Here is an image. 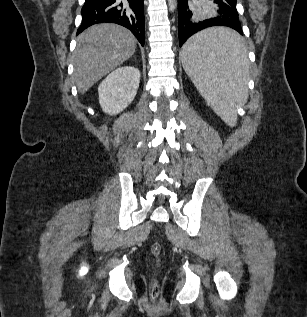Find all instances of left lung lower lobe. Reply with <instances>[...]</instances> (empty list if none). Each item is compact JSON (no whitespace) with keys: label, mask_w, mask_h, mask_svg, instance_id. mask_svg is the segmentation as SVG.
Masks as SVG:
<instances>
[{"label":"left lung lower lobe","mask_w":307,"mask_h":317,"mask_svg":"<svg viewBox=\"0 0 307 317\" xmlns=\"http://www.w3.org/2000/svg\"><path fill=\"white\" fill-rule=\"evenodd\" d=\"M179 2V45L193 34L211 26H227L243 35L239 15L236 9V1L234 0H214L217 6V16L205 20H197L191 11L189 0H178ZM241 43L238 41L227 42L221 47L222 55L229 59L238 56L241 52Z\"/></svg>","instance_id":"0a47b994"}]
</instances>
